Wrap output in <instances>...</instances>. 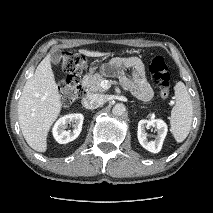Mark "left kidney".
I'll list each match as a JSON object with an SVG mask.
<instances>
[{
	"label": "left kidney",
	"instance_id": "left-kidney-1",
	"mask_svg": "<svg viewBox=\"0 0 213 213\" xmlns=\"http://www.w3.org/2000/svg\"><path fill=\"white\" fill-rule=\"evenodd\" d=\"M156 127L157 136L154 141L147 140L146 129ZM167 124L161 119L140 120L138 123L137 137L143 148L152 153H158L167 134Z\"/></svg>",
	"mask_w": 213,
	"mask_h": 213
}]
</instances>
